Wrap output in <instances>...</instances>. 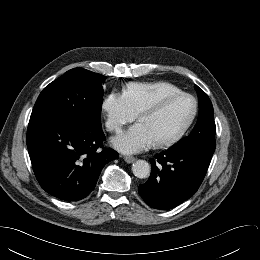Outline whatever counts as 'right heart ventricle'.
Instances as JSON below:
<instances>
[{
    "label": "right heart ventricle",
    "mask_w": 260,
    "mask_h": 260,
    "mask_svg": "<svg viewBox=\"0 0 260 260\" xmlns=\"http://www.w3.org/2000/svg\"><path fill=\"white\" fill-rule=\"evenodd\" d=\"M180 91L175 85L164 82L131 83L127 85L122 95L125 97L129 107L136 114L151 105L161 96Z\"/></svg>",
    "instance_id": "1"
}]
</instances>
